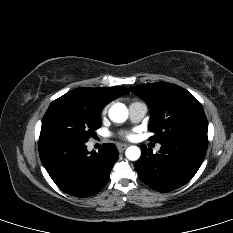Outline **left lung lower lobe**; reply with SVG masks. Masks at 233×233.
<instances>
[{
	"label": "left lung lower lobe",
	"instance_id": "0a47b994",
	"mask_svg": "<svg viewBox=\"0 0 233 233\" xmlns=\"http://www.w3.org/2000/svg\"><path fill=\"white\" fill-rule=\"evenodd\" d=\"M208 140L183 139L161 144L159 153L142 145V154L135 163L139 178L158 192L175 190L187 182L200 168Z\"/></svg>",
	"mask_w": 233,
	"mask_h": 233
}]
</instances>
